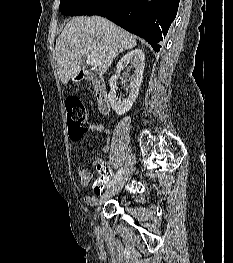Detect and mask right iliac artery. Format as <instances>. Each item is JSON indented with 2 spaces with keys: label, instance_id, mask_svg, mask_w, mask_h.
<instances>
[{
  "label": "right iliac artery",
  "instance_id": "obj_1",
  "mask_svg": "<svg viewBox=\"0 0 233 263\" xmlns=\"http://www.w3.org/2000/svg\"><path fill=\"white\" fill-rule=\"evenodd\" d=\"M122 172H123V169L120 168V169L118 170L116 176L114 177V179L111 180L110 183L108 184V187L113 186V185L119 180V178H120L121 175H122Z\"/></svg>",
  "mask_w": 233,
  "mask_h": 263
}]
</instances>
